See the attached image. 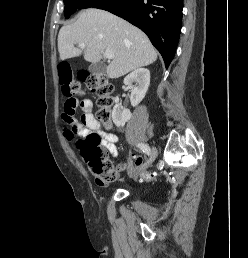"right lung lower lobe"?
Masks as SVG:
<instances>
[{
  "mask_svg": "<svg viewBox=\"0 0 248 258\" xmlns=\"http://www.w3.org/2000/svg\"><path fill=\"white\" fill-rule=\"evenodd\" d=\"M94 8L122 17L145 32L168 68L180 37L183 0H107Z\"/></svg>",
  "mask_w": 248,
  "mask_h": 258,
  "instance_id": "right-lung-lower-lobe-1",
  "label": "right lung lower lobe"
}]
</instances>
